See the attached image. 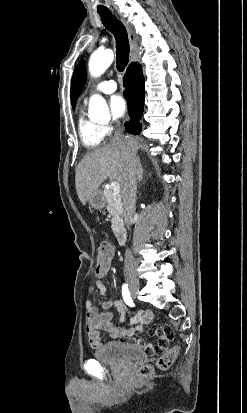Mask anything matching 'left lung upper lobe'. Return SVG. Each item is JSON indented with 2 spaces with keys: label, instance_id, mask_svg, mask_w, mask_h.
I'll list each match as a JSON object with an SVG mask.
<instances>
[{
  "label": "left lung upper lobe",
  "instance_id": "obj_1",
  "mask_svg": "<svg viewBox=\"0 0 247 413\" xmlns=\"http://www.w3.org/2000/svg\"><path fill=\"white\" fill-rule=\"evenodd\" d=\"M86 81L85 62L81 61L75 68L71 82V104L75 109L77 98L84 87Z\"/></svg>",
  "mask_w": 247,
  "mask_h": 413
}]
</instances>
